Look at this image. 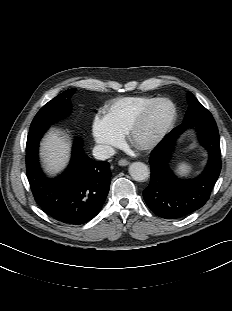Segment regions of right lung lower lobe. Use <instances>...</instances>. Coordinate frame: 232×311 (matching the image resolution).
I'll use <instances>...</instances> for the list:
<instances>
[{
    "label": "right lung lower lobe",
    "instance_id": "98d812e1",
    "mask_svg": "<svg viewBox=\"0 0 232 311\" xmlns=\"http://www.w3.org/2000/svg\"><path fill=\"white\" fill-rule=\"evenodd\" d=\"M47 129L29 131L27 138V177L35 201L60 222L84 224L99 213L109 192V164L90 159L83 152L82 142L77 140L67 170L57 178H47L38 162L39 140Z\"/></svg>",
    "mask_w": 232,
    "mask_h": 311
}]
</instances>
